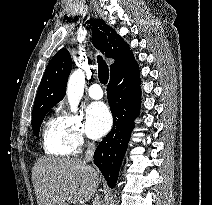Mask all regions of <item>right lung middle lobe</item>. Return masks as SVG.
<instances>
[{
	"mask_svg": "<svg viewBox=\"0 0 212 205\" xmlns=\"http://www.w3.org/2000/svg\"><path fill=\"white\" fill-rule=\"evenodd\" d=\"M54 105H43L36 108H33L32 113V130L35 136L39 135V130L41 123L47 114V112L53 107Z\"/></svg>",
	"mask_w": 212,
	"mask_h": 205,
	"instance_id": "1",
	"label": "right lung middle lobe"
}]
</instances>
